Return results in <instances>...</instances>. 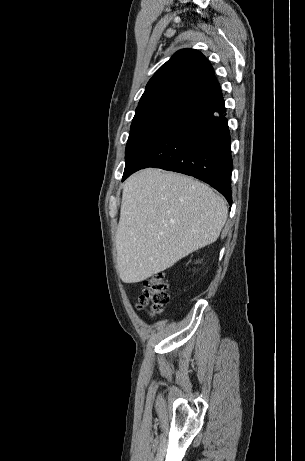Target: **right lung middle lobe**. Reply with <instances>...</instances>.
I'll use <instances>...</instances> for the list:
<instances>
[{
	"instance_id": "right-lung-middle-lobe-1",
	"label": "right lung middle lobe",
	"mask_w": 305,
	"mask_h": 461,
	"mask_svg": "<svg viewBox=\"0 0 305 461\" xmlns=\"http://www.w3.org/2000/svg\"><path fill=\"white\" fill-rule=\"evenodd\" d=\"M188 108L177 104H163L136 110L126 145L125 169L132 167L155 144L164 139Z\"/></svg>"
}]
</instances>
